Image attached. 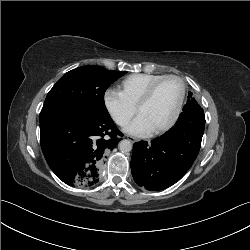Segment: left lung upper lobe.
<instances>
[{
	"instance_id": "5c2ea615",
	"label": "left lung upper lobe",
	"mask_w": 250,
	"mask_h": 250,
	"mask_svg": "<svg viewBox=\"0 0 250 250\" xmlns=\"http://www.w3.org/2000/svg\"><path fill=\"white\" fill-rule=\"evenodd\" d=\"M193 100H194V98H192V93H189L187 103H188V102H191V101H193Z\"/></svg>"
}]
</instances>
